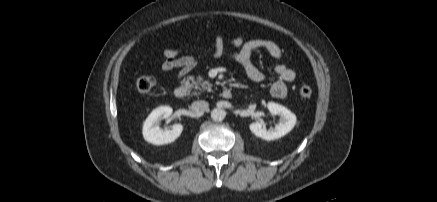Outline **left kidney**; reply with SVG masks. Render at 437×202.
<instances>
[{
	"label": "left kidney",
	"mask_w": 437,
	"mask_h": 202,
	"mask_svg": "<svg viewBox=\"0 0 437 202\" xmlns=\"http://www.w3.org/2000/svg\"><path fill=\"white\" fill-rule=\"evenodd\" d=\"M267 107L272 115H279L281 117L280 122L271 130L263 128L260 122H253L249 126L253 134L270 141L283 137L294 128L296 116L290 110L273 102L268 103Z\"/></svg>",
	"instance_id": "5707ae66"
}]
</instances>
